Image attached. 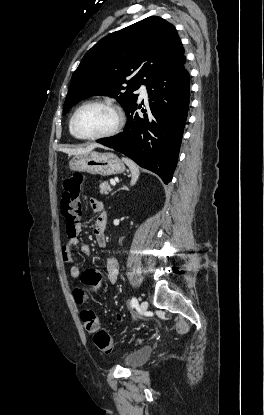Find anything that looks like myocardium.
I'll return each instance as SVG.
<instances>
[{"instance_id":"myocardium-1","label":"myocardium","mask_w":264,"mask_h":415,"mask_svg":"<svg viewBox=\"0 0 264 415\" xmlns=\"http://www.w3.org/2000/svg\"><path fill=\"white\" fill-rule=\"evenodd\" d=\"M92 105H101V106H106L108 108H110L111 110H113V112L115 113V125L114 127L105 133L102 134H98V135H92V136H88V135H83L82 133H80L77 128H76V118L77 115L79 114V112L88 106H92ZM70 125H71V130L73 132V134L80 139H84V140H100V139H106V138H110L115 136L116 134H118L121 129L124 126V113L122 111V109L120 108L119 105H117L116 103H114L111 100H107V99H99V100H92V101H88L83 103L82 105H80L73 113L72 117H71V121H70Z\"/></svg>"}]
</instances>
